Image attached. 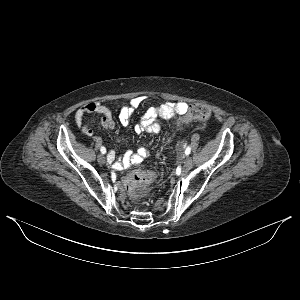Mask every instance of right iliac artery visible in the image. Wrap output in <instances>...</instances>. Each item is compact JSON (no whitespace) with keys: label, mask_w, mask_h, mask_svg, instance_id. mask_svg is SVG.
Returning a JSON list of instances; mask_svg holds the SVG:
<instances>
[{"label":"right iliac artery","mask_w":300,"mask_h":300,"mask_svg":"<svg viewBox=\"0 0 300 300\" xmlns=\"http://www.w3.org/2000/svg\"><path fill=\"white\" fill-rule=\"evenodd\" d=\"M100 151H101L102 154H105L106 153V148L105 147H101Z\"/></svg>","instance_id":"82829eb1"}]
</instances>
